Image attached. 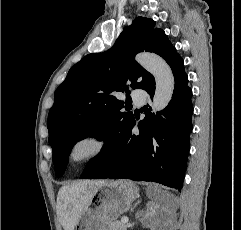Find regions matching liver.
<instances>
[{"mask_svg": "<svg viewBox=\"0 0 241 230\" xmlns=\"http://www.w3.org/2000/svg\"><path fill=\"white\" fill-rule=\"evenodd\" d=\"M93 196V188L86 184L62 187L58 193L57 212L65 230H74L81 213Z\"/></svg>", "mask_w": 241, "mask_h": 230, "instance_id": "6515ba94", "label": "liver"}]
</instances>
